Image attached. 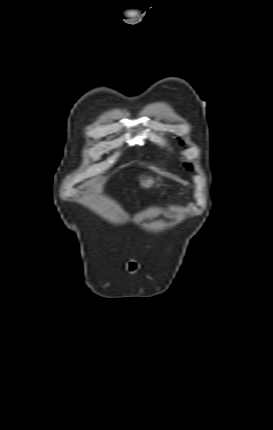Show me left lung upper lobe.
<instances>
[{
    "label": "left lung upper lobe",
    "mask_w": 273,
    "mask_h": 430,
    "mask_svg": "<svg viewBox=\"0 0 273 430\" xmlns=\"http://www.w3.org/2000/svg\"><path fill=\"white\" fill-rule=\"evenodd\" d=\"M185 166L187 167V169H189V170H191L192 169V167H191V165L190 164H185Z\"/></svg>",
    "instance_id": "left-lung-upper-lobe-1"
}]
</instances>
